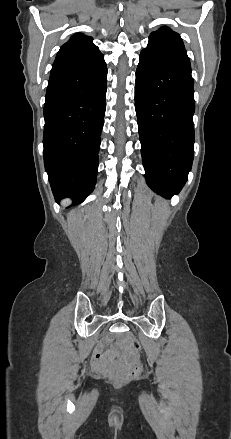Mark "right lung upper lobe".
<instances>
[{
    "instance_id": "right-lung-upper-lobe-1",
    "label": "right lung upper lobe",
    "mask_w": 231,
    "mask_h": 439,
    "mask_svg": "<svg viewBox=\"0 0 231 439\" xmlns=\"http://www.w3.org/2000/svg\"><path fill=\"white\" fill-rule=\"evenodd\" d=\"M92 40L81 33L73 35L57 53L50 78L81 70L102 57Z\"/></svg>"
}]
</instances>
